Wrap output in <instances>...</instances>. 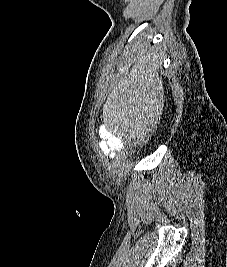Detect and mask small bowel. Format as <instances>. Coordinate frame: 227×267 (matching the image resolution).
I'll return each instance as SVG.
<instances>
[{
	"instance_id": "1",
	"label": "small bowel",
	"mask_w": 227,
	"mask_h": 267,
	"mask_svg": "<svg viewBox=\"0 0 227 267\" xmlns=\"http://www.w3.org/2000/svg\"><path fill=\"white\" fill-rule=\"evenodd\" d=\"M123 140L120 137L110 133L104 132V140L99 143V149L104 155H114L123 149Z\"/></svg>"
}]
</instances>
